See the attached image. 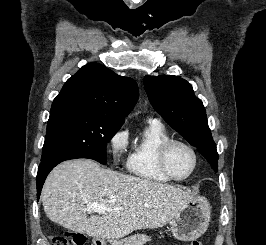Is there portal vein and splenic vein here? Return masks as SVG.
I'll use <instances>...</instances> for the list:
<instances>
[{
	"mask_svg": "<svg viewBox=\"0 0 266 245\" xmlns=\"http://www.w3.org/2000/svg\"><path fill=\"white\" fill-rule=\"evenodd\" d=\"M84 211H93V213H106V211H119V209H107L105 205L101 203H89L86 205Z\"/></svg>",
	"mask_w": 266,
	"mask_h": 245,
	"instance_id": "obj_1",
	"label": "portal vein and splenic vein"
}]
</instances>
